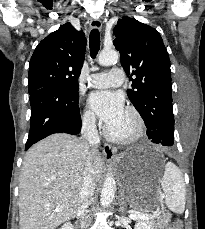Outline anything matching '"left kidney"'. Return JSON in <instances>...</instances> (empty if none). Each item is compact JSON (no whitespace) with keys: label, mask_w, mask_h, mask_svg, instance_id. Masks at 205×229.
Segmentation results:
<instances>
[{"label":"left kidney","mask_w":205,"mask_h":229,"mask_svg":"<svg viewBox=\"0 0 205 229\" xmlns=\"http://www.w3.org/2000/svg\"><path fill=\"white\" fill-rule=\"evenodd\" d=\"M150 216L147 214H140L137 218V223L134 229H155L153 222L150 221Z\"/></svg>","instance_id":"1"}]
</instances>
